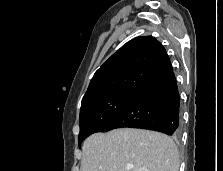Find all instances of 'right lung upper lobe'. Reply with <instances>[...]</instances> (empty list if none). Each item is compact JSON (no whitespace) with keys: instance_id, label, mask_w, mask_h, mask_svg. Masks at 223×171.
<instances>
[{"instance_id":"right-lung-upper-lobe-1","label":"right lung upper lobe","mask_w":223,"mask_h":171,"mask_svg":"<svg viewBox=\"0 0 223 171\" xmlns=\"http://www.w3.org/2000/svg\"><path fill=\"white\" fill-rule=\"evenodd\" d=\"M172 70L159 41L152 36L136 37L95 72L81 106L112 93H140Z\"/></svg>"}]
</instances>
